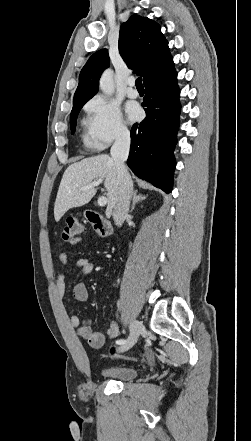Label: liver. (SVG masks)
I'll return each instance as SVG.
<instances>
[{
    "mask_svg": "<svg viewBox=\"0 0 251 441\" xmlns=\"http://www.w3.org/2000/svg\"><path fill=\"white\" fill-rule=\"evenodd\" d=\"M95 179H104L107 190L106 216L110 217L119 191L117 169L111 157L101 154L82 159L67 167L61 179L55 205L54 217L58 222L71 208L87 204L96 194L94 187L87 190L81 188L89 185Z\"/></svg>",
    "mask_w": 251,
    "mask_h": 441,
    "instance_id": "liver-1",
    "label": "liver"
}]
</instances>
